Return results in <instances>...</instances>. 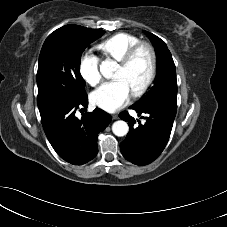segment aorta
<instances>
[{"mask_svg": "<svg viewBox=\"0 0 227 227\" xmlns=\"http://www.w3.org/2000/svg\"><path fill=\"white\" fill-rule=\"evenodd\" d=\"M114 66H115L114 62H111V61L105 62L101 67V72L103 76L111 77L112 72L114 71ZM128 131H129V126L123 120L116 121L112 125V132L118 137H123L127 135Z\"/></svg>", "mask_w": 227, "mask_h": 227, "instance_id": "762f6f07", "label": "aorta"}]
</instances>
